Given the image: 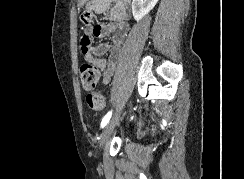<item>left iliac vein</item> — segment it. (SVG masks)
I'll list each match as a JSON object with an SVG mask.
<instances>
[{
	"label": "left iliac vein",
	"instance_id": "4c4485c4",
	"mask_svg": "<svg viewBox=\"0 0 244 179\" xmlns=\"http://www.w3.org/2000/svg\"><path fill=\"white\" fill-rule=\"evenodd\" d=\"M121 111L122 110H119V112L116 113L114 115V117L106 124V126L103 130L100 142H99L100 148H103L108 143L109 138L112 135L114 128L116 127V125L119 122Z\"/></svg>",
	"mask_w": 244,
	"mask_h": 179
}]
</instances>
